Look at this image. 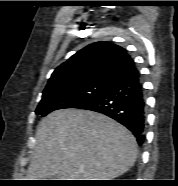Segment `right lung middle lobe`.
I'll use <instances>...</instances> for the list:
<instances>
[{
	"mask_svg": "<svg viewBox=\"0 0 178 186\" xmlns=\"http://www.w3.org/2000/svg\"><path fill=\"white\" fill-rule=\"evenodd\" d=\"M109 84L89 83L70 88L43 92L36 114L46 116L48 113L65 108H78L104 91Z\"/></svg>",
	"mask_w": 178,
	"mask_h": 186,
	"instance_id": "dd1d6c3e",
	"label": "right lung middle lobe"
}]
</instances>
